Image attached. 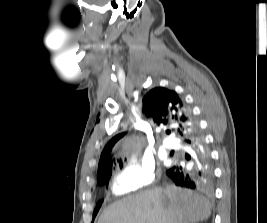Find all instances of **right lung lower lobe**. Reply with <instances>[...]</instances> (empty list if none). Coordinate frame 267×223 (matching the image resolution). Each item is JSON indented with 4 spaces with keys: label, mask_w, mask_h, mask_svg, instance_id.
Instances as JSON below:
<instances>
[{
    "label": "right lung lower lobe",
    "mask_w": 267,
    "mask_h": 223,
    "mask_svg": "<svg viewBox=\"0 0 267 223\" xmlns=\"http://www.w3.org/2000/svg\"><path fill=\"white\" fill-rule=\"evenodd\" d=\"M188 153L186 166H173L166 175L177 185L191 189H207L213 182V166L209 149L199 126L195 124L193 134L184 140Z\"/></svg>",
    "instance_id": "98d812e1"
}]
</instances>
